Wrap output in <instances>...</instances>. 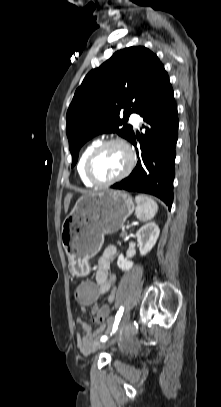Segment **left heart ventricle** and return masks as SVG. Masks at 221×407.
Returning a JSON list of instances; mask_svg holds the SVG:
<instances>
[{"instance_id":"1","label":"left heart ventricle","mask_w":221,"mask_h":407,"mask_svg":"<svg viewBox=\"0 0 221 407\" xmlns=\"http://www.w3.org/2000/svg\"><path fill=\"white\" fill-rule=\"evenodd\" d=\"M128 156L119 145L105 148L94 160L92 171L99 180H109L118 176L127 166Z\"/></svg>"}]
</instances>
